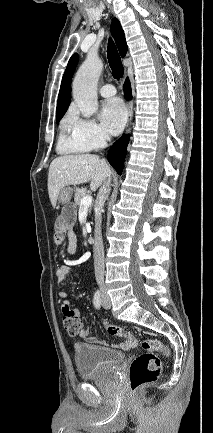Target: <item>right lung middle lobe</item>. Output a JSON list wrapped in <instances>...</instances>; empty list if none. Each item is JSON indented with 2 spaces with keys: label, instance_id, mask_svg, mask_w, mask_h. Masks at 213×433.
Masks as SVG:
<instances>
[{
  "label": "right lung middle lobe",
  "instance_id": "dd1d6c3e",
  "mask_svg": "<svg viewBox=\"0 0 213 433\" xmlns=\"http://www.w3.org/2000/svg\"><path fill=\"white\" fill-rule=\"evenodd\" d=\"M60 120H56V123H58Z\"/></svg>",
  "mask_w": 213,
  "mask_h": 433
}]
</instances>
